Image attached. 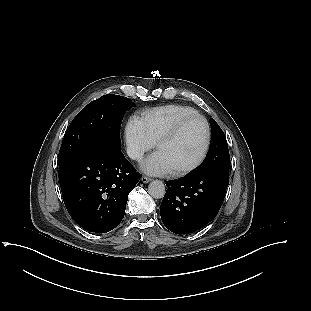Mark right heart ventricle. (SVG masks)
<instances>
[{"label": "right heart ventricle", "instance_id": "obj_1", "mask_svg": "<svg viewBox=\"0 0 311 311\" xmlns=\"http://www.w3.org/2000/svg\"><path fill=\"white\" fill-rule=\"evenodd\" d=\"M197 114L196 110L181 104H167L146 109L141 113V121L153 142L179 119Z\"/></svg>", "mask_w": 311, "mask_h": 311}]
</instances>
